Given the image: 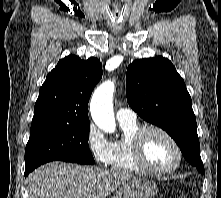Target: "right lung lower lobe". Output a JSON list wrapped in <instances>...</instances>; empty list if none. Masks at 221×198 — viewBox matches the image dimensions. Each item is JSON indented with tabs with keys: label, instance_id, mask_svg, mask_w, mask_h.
<instances>
[{
	"label": "right lung lower lobe",
	"instance_id": "1",
	"mask_svg": "<svg viewBox=\"0 0 221 198\" xmlns=\"http://www.w3.org/2000/svg\"><path fill=\"white\" fill-rule=\"evenodd\" d=\"M29 173H30V172H26V171H25V176H27Z\"/></svg>",
	"mask_w": 221,
	"mask_h": 198
}]
</instances>
